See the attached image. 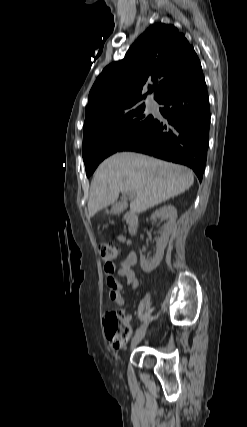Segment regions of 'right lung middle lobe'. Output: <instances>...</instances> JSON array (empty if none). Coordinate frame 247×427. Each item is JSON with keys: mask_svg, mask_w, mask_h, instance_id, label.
I'll list each match as a JSON object with an SVG mask.
<instances>
[{"mask_svg": "<svg viewBox=\"0 0 247 427\" xmlns=\"http://www.w3.org/2000/svg\"><path fill=\"white\" fill-rule=\"evenodd\" d=\"M152 119L153 116L145 112L144 104L136 105L84 129L82 156L87 176L95 171L102 160L138 137Z\"/></svg>", "mask_w": 247, "mask_h": 427, "instance_id": "1", "label": "right lung middle lobe"}]
</instances>
